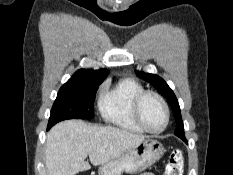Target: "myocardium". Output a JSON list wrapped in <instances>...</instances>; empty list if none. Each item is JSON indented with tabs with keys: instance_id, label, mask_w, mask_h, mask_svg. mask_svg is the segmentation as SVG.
Here are the masks:
<instances>
[{
	"instance_id": "f54148a6",
	"label": "myocardium",
	"mask_w": 233,
	"mask_h": 175,
	"mask_svg": "<svg viewBox=\"0 0 233 175\" xmlns=\"http://www.w3.org/2000/svg\"><path fill=\"white\" fill-rule=\"evenodd\" d=\"M149 96L155 97L160 102V104H161V106H162V108L164 110V113H165V122H164L163 126L158 130L150 129L144 123V121H143V119L141 117V105H142V102L144 101L145 98H147ZM132 114H133V117H134L136 123L144 131H146L148 133H152V134H158V133L163 132L167 128V126L169 124V121H170V111H169V107H168V104H167L166 100L159 93H157L155 91H150V90H144L134 98V101H133V104H132Z\"/></svg>"
}]
</instances>
